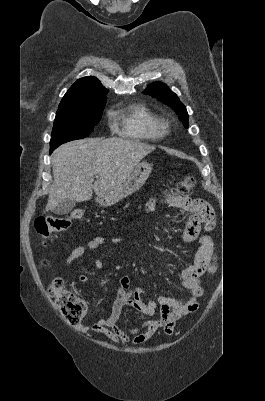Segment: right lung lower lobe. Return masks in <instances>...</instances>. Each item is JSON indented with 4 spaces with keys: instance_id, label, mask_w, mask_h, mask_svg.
<instances>
[{
    "instance_id": "right-lung-lower-lobe-1",
    "label": "right lung lower lobe",
    "mask_w": 265,
    "mask_h": 401,
    "mask_svg": "<svg viewBox=\"0 0 265 401\" xmlns=\"http://www.w3.org/2000/svg\"><path fill=\"white\" fill-rule=\"evenodd\" d=\"M53 150L52 149H50V153L52 152Z\"/></svg>"
}]
</instances>
